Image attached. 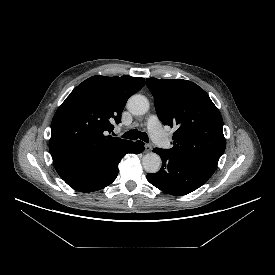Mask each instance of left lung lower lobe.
Returning a JSON list of instances; mask_svg holds the SVG:
<instances>
[{"mask_svg": "<svg viewBox=\"0 0 275 275\" xmlns=\"http://www.w3.org/2000/svg\"><path fill=\"white\" fill-rule=\"evenodd\" d=\"M162 159L161 169L147 174V180L163 192L175 196L191 193L202 186L211 176L172 154L168 149L154 148Z\"/></svg>", "mask_w": 275, "mask_h": 275, "instance_id": "left-lung-lower-lobe-1", "label": "left lung lower lobe"}]
</instances>
